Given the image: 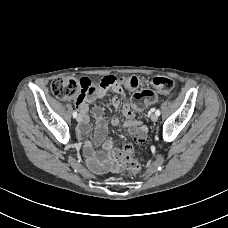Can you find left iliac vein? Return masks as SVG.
<instances>
[{
  "mask_svg": "<svg viewBox=\"0 0 228 228\" xmlns=\"http://www.w3.org/2000/svg\"><path fill=\"white\" fill-rule=\"evenodd\" d=\"M151 120L153 121V122H156L157 120H158V116L154 113V114H152L151 115Z\"/></svg>",
  "mask_w": 228,
  "mask_h": 228,
  "instance_id": "left-iliac-vein-1",
  "label": "left iliac vein"
}]
</instances>
